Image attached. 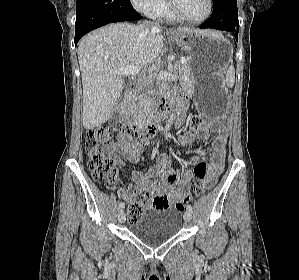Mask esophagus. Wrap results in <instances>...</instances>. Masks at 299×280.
Segmentation results:
<instances>
[{
    "instance_id": "1",
    "label": "esophagus",
    "mask_w": 299,
    "mask_h": 280,
    "mask_svg": "<svg viewBox=\"0 0 299 280\" xmlns=\"http://www.w3.org/2000/svg\"><path fill=\"white\" fill-rule=\"evenodd\" d=\"M169 32H173V30L169 29Z\"/></svg>"
}]
</instances>
